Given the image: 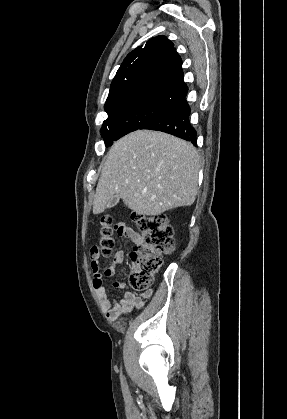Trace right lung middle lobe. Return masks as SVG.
<instances>
[{
    "mask_svg": "<svg viewBox=\"0 0 287 419\" xmlns=\"http://www.w3.org/2000/svg\"><path fill=\"white\" fill-rule=\"evenodd\" d=\"M167 107L166 105L138 104L108 113V119L103 122L100 131L106 147L111 146L122 136L140 129Z\"/></svg>",
    "mask_w": 287,
    "mask_h": 419,
    "instance_id": "dd1d6c3e",
    "label": "right lung middle lobe"
}]
</instances>
